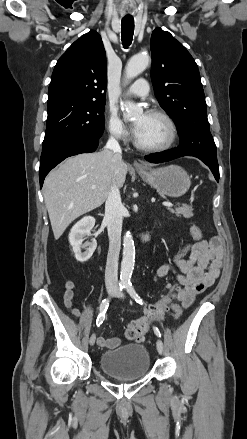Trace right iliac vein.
<instances>
[{
	"instance_id": "1",
	"label": "right iliac vein",
	"mask_w": 247,
	"mask_h": 439,
	"mask_svg": "<svg viewBox=\"0 0 247 439\" xmlns=\"http://www.w3.org/2000/svg\"><path fill=\"white\" fill-rule=\"evenodd\" d=\"M107 291H108L109 295H113L115 293V289L112 288V287L108 288ZM95 340H96V335L92 334L91 337H90V340H89V343H90L91 346H93L95 344Z\"/></svg>"
}]
</instances>
